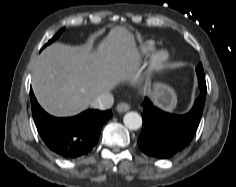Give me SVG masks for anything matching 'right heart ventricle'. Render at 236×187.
I'll list each match as a JSON object with an SVG mask.
<instances>
[{"label": "right heart ventricle", "instance_id": "e07e8e85", "mask_svg": "<svg viewBox=\"0 0 236 187\" xmlns=\"http://www.w3.org/2000/svg\"><path fill=\"white\" fill-rule=\"evenodd\" d=\"M157 44L155 41L147 40L141 42L134 50V57H146L156 50Z\"/></svg>", "mask_w": 236, "mask_h": 187}]
</instances>
